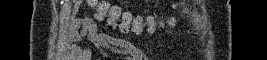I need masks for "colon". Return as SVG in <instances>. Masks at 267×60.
Returning a JSON list of instances; mask_svg holds the SVG:
<instances>
[{"instance_id": "5ec220e1", "label": "colon", "mask_w": 267, "mask_h": 60, "mask_svg": "<svg viewBox=\"0 0 267 60\" xmlns=\"http://www.w3.org/2000/svg\"><path fill=\"white\" fill-rule=\"evenodd\" d=\"M94 11V17L98 20H105L112 28H117L123 32L139 33L147 28L152 31L161 25L163 21H170V17L162 15L159 18L152 16L145 20L142 16H135L131 13L123 12L115 6H111L104 1L90 0L87 1Z\"/></svg>"}]
</instances>
